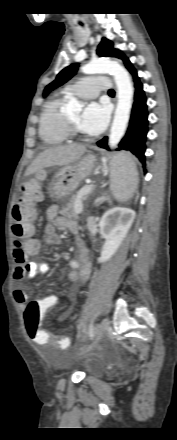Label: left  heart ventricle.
Masks as SVG:
<instances>
[{
    "instance_id": "b2bd125f",
    "label": "left heart ventricle",
    "mask_w": 177,
    "mask_h": 440,
    "mask_svg": "<svg viewBox=\"0 0 177 440\" xmlns=\"http://www.w3.org/2000/svg\"><path fill=\"white\" fill-rule=\"evenodd\" d=\"M67 117L74 123V125L76 126V128L78 129V120H79V113H69L67 114Z\"/></svg>"
}]
</instances>
